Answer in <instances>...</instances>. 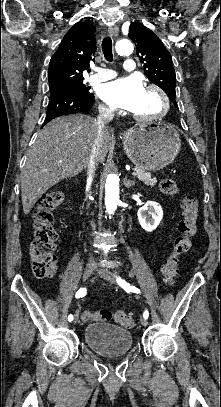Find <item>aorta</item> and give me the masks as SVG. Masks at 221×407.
I'll return each mask as SVG.
<instances>
[{
  "mask_svg": "<svg viewBox=\"0 0 221 407\" xmlns=\"http://www.w3.org/2000/svg\"><path fill=\"white\" fill-rule=\"evenodd\" d=\"M116 51L119 55L132 53L133 44L128 39L119 40L116 43ZM119 204V181L116 175L109 174L105 183V206L108 214H113Z\"/></svg>",
  "mask_w": 221,
  "mask_h": 407,
  "instance_id": "obj_1",
  "label": "aorta"
}]
</instances>
